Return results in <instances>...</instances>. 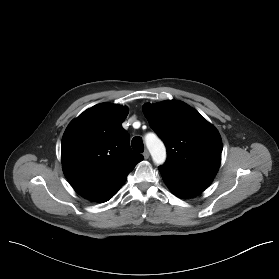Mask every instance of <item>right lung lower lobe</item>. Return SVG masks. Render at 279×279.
Segmentation results:
<instances>
[{"label":"right lung lower lobe","mask_w":279,"mask_h":279,"mask_svg":"<svg viewBox=\"0 0 279 279\" xmlns=\"http://www.w3.org/2000/svg\"><path fill=\"white\" fill-rule=\"evenodd\" d=\"M115 195V194H114ZM113 195V196H114ZM113 196H111V197H109V198H107V199H105V200H103V201H101V202H106V201H108L109 199H111Z\"/></svg>","instance_id":"right-lung-lower-lobe-1"}]
</instances>
